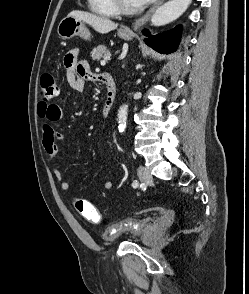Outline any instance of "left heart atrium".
<instances>
[{"label":"left heart atrium","mask_w":249,"mask_h":294,"mask_svg":"<svg viewBox=\"0 0 249 294\" xmlns=\"http://www.w3.org/2000/svg\"><path fill=\"white\" fill-rule=\"evenodd\" d=\"M149 1H151V0H133L136 7L143 6V5L147 4Z\"/></svg>","instance_id":"1"}]
</instances>
